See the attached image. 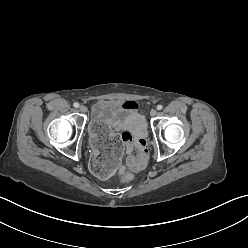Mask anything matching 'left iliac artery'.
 Masks as SVG:
<instances>
[{"label": "left iliac artery", "mask_w": 248, "mask_h": 248, "mask_svg": "<svg viewBox=\"0 0 248 248\" xmlns=\"http://www.w3.org/2000/svg\"><path fill=\"white\" fill-rule=\"evenodd\" d=\"M163 108V106L162 105H157V110H161Z\"/></svg>", "instance_id": "obj_1"}]
</instances>
